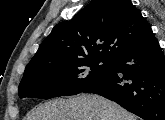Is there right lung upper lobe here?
<instances>
[{
  "mask_svg": "<svg viewBox=\"0 0 165 120\" xmlns=\"http://www.w3.org/2000/svg\"><path fill=\"white\" fill-rule=\"evenodd\" d=\"M152 35L130 0H94L71 20L55 25L27 66L79 58L113 61Z\"/></svg>",
  "mask_w": 165,
  "mask_h": 120,
  "instance_id": "right-lung-upper-lobe-1",
  "label": "right lung upper lobe"
}]
</instances>
